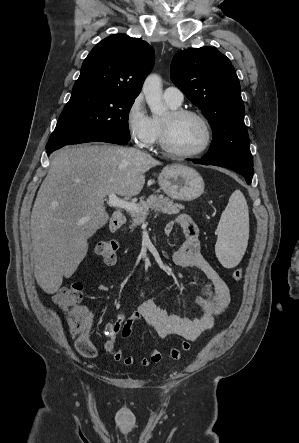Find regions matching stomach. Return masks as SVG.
Returning <instances> with one entry per match:
<instances>
[{"mask_svg":"<svg viewBox=\"0 0 299 443\" xmlns=\"http://www.w3.org/2000/svg\"><path fill=\"white\" fill-rule=\"evenodd\" d=\"M161 189L169 197L181 201H191L204 192V181L191 167L172 164L163 168L158 177Z\"/></svg>","mask_w":299,"mask_h":443,"instance_id":"1","label":"stomach"}]
</instances>
